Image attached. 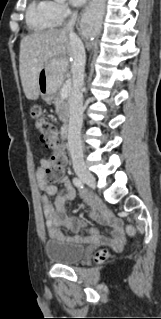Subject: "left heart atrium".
<instances>
[{
  "mask_svg": "<svg viewBox=\"0 0 161 319\" xmlns=\"http://www.w3.org/2000/svg\"><path fill=\"white\" fill-rule=\"evenodd\" d=\"M74 6H80L85 3L86 0H70Z\"/></svg>",
  "mask_w": 161,
  "mask_h": 319,
  "instance_id": "1",
  "label": "left heart atrium"
}]
</instances>
